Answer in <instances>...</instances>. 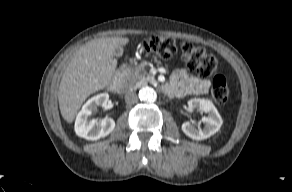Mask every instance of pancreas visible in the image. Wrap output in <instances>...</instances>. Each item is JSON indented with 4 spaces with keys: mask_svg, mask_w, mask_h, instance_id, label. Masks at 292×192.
I'll list each match as a JSON object with an SVG mask.
<instances>
[{
    "mask_svg": "<svg viewBox=\"0 0 292 192\" xmlns=\"http://www.w3.org/2000/svg\"><path fill=\"white\" fill-rule=\"evenodd\" d=\"M126 80L132 87H139L147 84L148 82H154V77L147 74L144 65H140L134 70H129L126 74Z\"/></svg>",
    "mask_w": 292,
    "mask_h": 192,
    "instance_id": "1",
    "label": "pancreas"
}]
</instances>
